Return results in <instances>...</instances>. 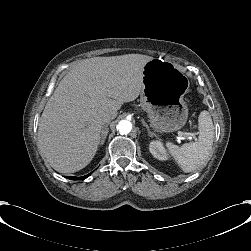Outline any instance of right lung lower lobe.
Instances as JSON below:
<instances>
[{
    "mask_svg": "<svg viewBox=\"0 0 251 251\" xmlns=\"http://www.w3.org/2000/svg\"><path fill=\"white\" fill-rule=\"evenodd\" d=\"M90 175H91V173H89L88 175H85L83 177H70V176H66V178L72 179V180H83V179L87 178Z\"/></svg>",
    "mask_w": 251,
    "mask_h": 251,
    "instance_id": "1",
    "label": "right lung lower lobe"
}]
</instances>
